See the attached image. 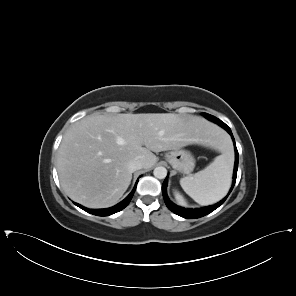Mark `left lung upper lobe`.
Segmentation results:
<instances>
[{"mask_svg":"<svg viewBox=\"0 0 296 296\" xmlns=\"http://www.w3.org/2000/svg\"><path fill=\"white\" fill-rule=\"evenodd\" d=\"M203 116L206 117L207 119H209V120H211V121L217 123V124H218V123L225 124V123L222 122L220 119H218V118H216V117H214V116H212V115H210V114L203 113Z\"/></svg>","mask_w":296,"mask_h":296,"instance_id":"5c2ea615","label":"left lung upper lobe"}]
</instances>
